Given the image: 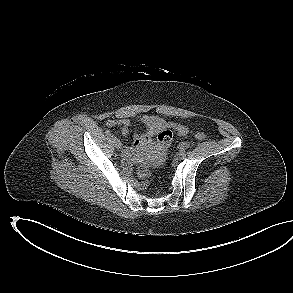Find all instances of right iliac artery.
<instances>
[{
	"label": "right iliac artery",
	"mask_w": 293,
	"mask_h": 293,
	"mask_svg": "<svg viewBox=\"0 0 293 293\" xmlns=\"http://www.w3.org/2000/svg\"><path fill=\"white\" fill-rule=\"evenodd\" d=\"M105 133H106L108 136H110L112 140L116 138L114 135L111 134V132H110L109 130H107Z\"/></svg>",
	"instance_id": "obj_1"
}]
</instances>
